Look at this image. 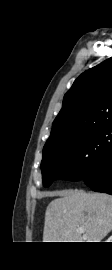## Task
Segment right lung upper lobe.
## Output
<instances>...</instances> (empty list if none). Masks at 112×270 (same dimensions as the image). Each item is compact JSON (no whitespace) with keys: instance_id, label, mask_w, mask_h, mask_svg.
<instances>
[{"instance_id":"1","label":"right lung upper lobe","mask_w":112,"mask_h":270,"mask_svg":"<svg viewBox=\"0 0 112 270\" xmlns=\"http://www.w3.org/2000/svg\"><path fill=\"white\" fill-rule=\"evenodd\" d=\"M108 124H112V57L75 80L43 150Z\"/></svg>"}]
</instances>
